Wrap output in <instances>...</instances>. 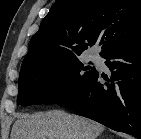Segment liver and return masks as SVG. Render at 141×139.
I'll return each instance as SVG.
<instances>
[{
  "label": "liver",
  "instance_id": "liver-1",
  "mask_svg": "<svg viewBox=\"0 0 141 139\" xmlns=\"http://www.w3.org/2000/svg\"><path fill=\"white\" fill-rule=\"evenodd\" d=\"M104 128L93 120L63 110H50L19 114L11 139H97Z\"/></svg>",
  "mask_w": 141,
  "mask_h": 139
}]
</instances>
